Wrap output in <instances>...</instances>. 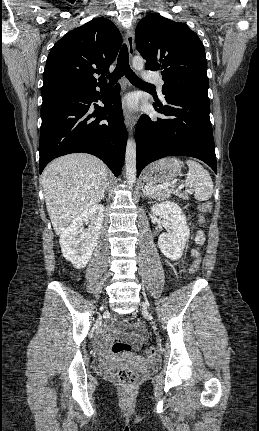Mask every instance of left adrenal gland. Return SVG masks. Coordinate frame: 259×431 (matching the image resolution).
Instances as JSON below:
<instances>
[{
	"mask_svg": "<svg viewBox=\"0 0 259 431\" xmlns=\"http://www.w3.org/2000/svg\"><path fill=\"white\" fill-rule=\"evenodd\" d=\"M143 197L144 196H146V197H148V198H151V195L150 194H148L147 192H146V189L143 187L142 188V194H141Z\"/></svg>",
	"mask_w": 259,
	"mask_h": 431,
	"instance_id": "obj_1",
	"label": "left adrenal gland"
}]
</instances>
